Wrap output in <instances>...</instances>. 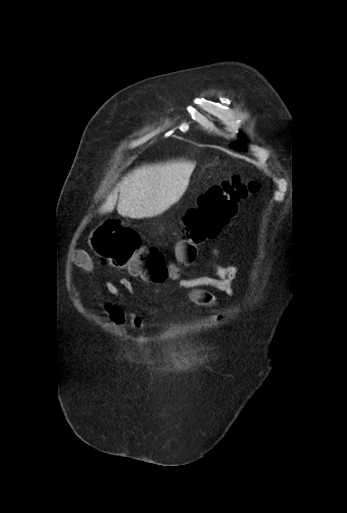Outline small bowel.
I'll return each instance as SVG.
<instances>
[{"label": "small bowel", "mask_w": 347, "mask_h": 513, "mask_svg": "<svg viewBox=\"0 0 347 513\" xmlns=\"http://www.w3.org/2000/svg\"><path fill=\"white\" fill-rule=\"evenodd\" d=\"M218 251L213 249L209 253V263L212 269L211 276H198L193 278H181L178 269L174 271L173 279L177 281L179 289L188 295L189 301L199 307L210 311L217 308V299L213 291H219L227 296L235 297L240 294L238 280L241 270L235 265H220L216 263ZM74 266L85 273L93 272V263L90 257L83 251H78L72 258ZM120 284L132 291L133 286L128 278H122ZM106 292L113 296H119L120 290L114 285H105ZM78 298L79 294L76 292ZM102 317L111 323L119 326H129L133 330H143L146 323L143 316L139 313H127L122 308L112 302H105L101 311Z\"/></svg>", "instance_id": "small-bowel-1"}]
</instances>
